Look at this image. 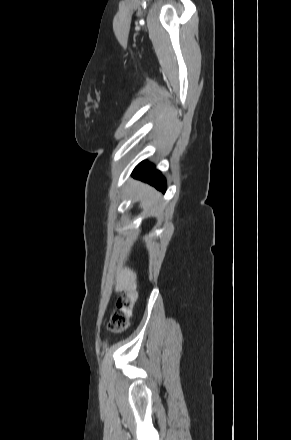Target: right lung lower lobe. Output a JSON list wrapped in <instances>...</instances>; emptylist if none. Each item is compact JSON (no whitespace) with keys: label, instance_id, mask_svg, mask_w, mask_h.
I'll return each mask as SVG.
<instances>
[{"label":"right lung lower lobe","instance_id":"98d812e1","mask_svg":"<svg viewBox=\"0 0 291 440\" xmlns=\"http://www.w3.org/2000/svg\"><path fill=\"white\" fill-rule=\"evenodd\" d=\"M132 176L150 183L163 192L166 190L164 177L160 171L155 169L154 165L147 161L141 162L132 172Z\"/></svg>","mask_w":291,"mask_h":440}]
</instances>
